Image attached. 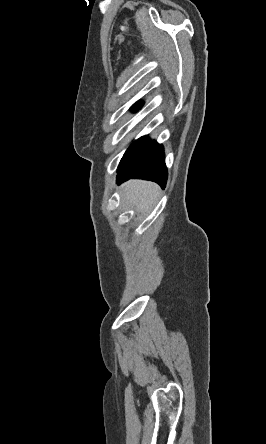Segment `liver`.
I'll list each match as a JSON object with an SVG mask.
<instances>
[{
	"label": "liver",
	"mask_w": 266,
	"mask_h": 444,
	"mask_svg": "<svg viewBox=\"0 0 266 444\" xmlns=\"http://www.w3.org/2000/svg\"><path fill=\"white\" fill-rule=\"evenodd\" d=\"M159 187L152 182L130 180L122 186V198L138 211L148 210L158 196Z\"/></svg>",
	"instance_id": "1"
}]
</instances>
